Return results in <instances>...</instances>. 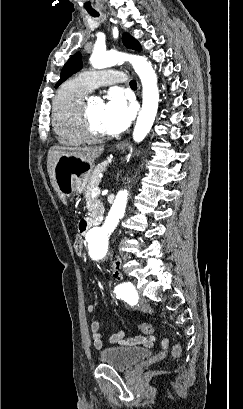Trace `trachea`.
I'll return each instance as SVG.
<instances>
[{
  "instance_id": "3493384b",
  "label": "trachea",
  "mask_w": 243,
  "mask_h": 409,
  "mask_svg": "<svg viewBox=\"0 0 243 409\" xmlns=\"http://www.w3.org/2000/svg\"><path fill=\"white\" fill-rule=\"evenodd\" d=\"M89 14H90L91 16H93V17H98V16H99V14H98L97 12H89ZM130 87H131V88H136V87H137L136 81L131 80V81H130Z\"/></svg>"
}]
</instances>
